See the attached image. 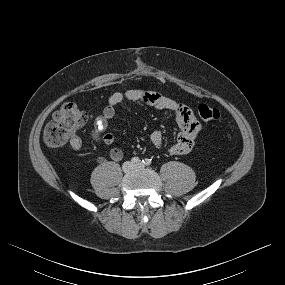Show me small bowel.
I'll return each mask as SVG.
<instances>
[{"mask_svg":"<svg viewBox=\"0 0 285 285\" xmlns=\"http://www.w3.org/2000/svg\"><path fill=\"white\" fill-rule=\"evenodd\" d=\"M125 101H139L158 110L173 112L180 132L169 149L170 153L182 155L192 149L194 141L201 130V124L197 121L191 109L173 99L143 89H128L115 92L109 97L102 114L95 119L90 130V136L97 145L110 146L115 142V135L105 131L109 121L115 115L116 107ZM150 140L154 146L161 147L164 142L163 132L155 130L150 135ZM69 144L73 151L81 150L83 145L82 139L77 133L70 138ZM110 158L115 162L120 161L123 158L122 150L117 147L112 148L110 150Z\"/></svg>","mask_w":285,"mask_h":285,"instance_id":"1","label":"small bowel"}]
</instances>
